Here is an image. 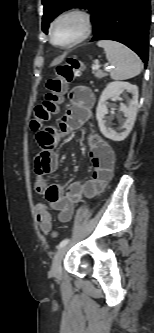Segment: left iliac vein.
Listing matches in <instances>:
<instances>
[{"instance_id":"left-iliac-vein-1","label":"left iliac vein","mask_w":154,"mask_h":333,"mask_svg":"<svg viewBox=\"0 0 154 333\" xmlns=\"http://www.w3.org/2000/svg\"><path fill=\"white\" fill-rule=\"evenodd\" d=\"M67 250V246H63L61 247L57 253L55 254L53 261H52V267H51V274L56 277V278H60L61 274H62V267H61V263H62V259L65 255V252Z\"/></svg>"}]
</instances>
